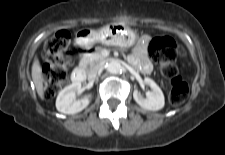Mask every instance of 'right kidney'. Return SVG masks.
Returning a JSON list of instances; mask_svg holds the SVG:
<instances>
[{"mask_svg": "<svg viewBox=\"0 0 225 155\" xmlns=\"http://www.w3.org/2000/svg\"><path fill=\"white\" fill-rule=\"evenodd\" d=\"M80 89L81 83L75 82L60 91L56 99L57 110L64 114H76L85 109L90 103L88 97L75 100L76 92Z\"/></svg>", "mask_w": 225, "mask_h": 155, "instance_id": "ca27d5eb", "label": "right kidney"}]
</instances>
